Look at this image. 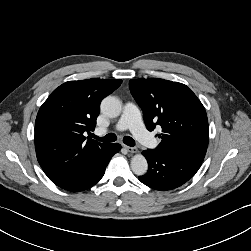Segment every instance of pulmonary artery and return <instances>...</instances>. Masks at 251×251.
Listing matches in <instances>:
<instances>
[{"instance_id":"1","label":"pulmonary artery","mask_w":251,"mask_h":251,"mask_svg":"<svg viewBox=\"0 0 251 251\" xmlns=\"http://www.w3.org/2000/svg\"><path fill=\"white\" fill-rule=\"evenodd\" d=\"M115 129L118 131L130 130L138 141L148 147H155L157 145L155 138L145 129L138 107L132 102H127L124 105L123 113ZM105 132L106 130L104 129L96 130L97 134H104Z\"/></svg>"}]
</instances>
